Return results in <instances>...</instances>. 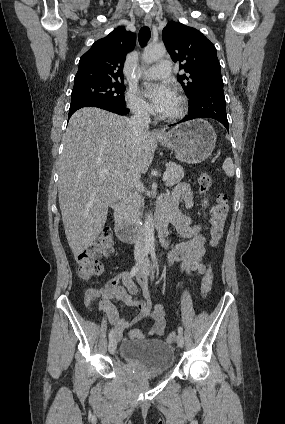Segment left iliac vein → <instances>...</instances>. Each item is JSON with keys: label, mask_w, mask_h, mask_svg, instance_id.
Returning <instances> with one entry per match:
<instances>
[{"label": "left iliac vein", "mask_w": 285, "mask_h": 424, "mask_svg": "<svg viewBox=\"0 0 285 424\" xmlns=\"http://www.w3.org/2000/svg\"><path fill=\"white\" fill-rule=\"evenodd\" d=\"M150 268H151L150 261L148 259H145L144 260V263H143V266H142V271H143V274L145 276H148L149 275ZM176 342H177V345L179 347H183V345H184V337L182 336V334H178V336L176 338Z\"/></svg>", "instance_id": "1"}]
</instances>
